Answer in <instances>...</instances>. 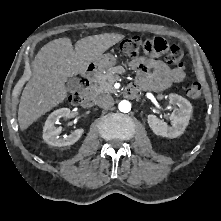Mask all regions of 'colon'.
<instances>
[{"instance_id":"obj_1","label":"colon","mask_w":221,"mask_h":221,"mask_svg":"<svg viewBox=\"0 0 221 221\" xmlns=\"http://www.w3.org/2000/svg\"><path fill=\"white\" fill-rule=\"evenodd\" d=\"M122 52L129 57H135L141 50L144 51H154V52H164L168 51V60L175 67L183 70V52L177 45L169 46L167 42L162 38L145 39L142 36L136 35L131 38L124 40L120 46ZM82 89L73 92L70 95V101L72 103L78 104L82 102ZM187 95L195 101H199L202 98L201 86L199 83H193L187 88Z\"/></svg>"}]
</instances>
